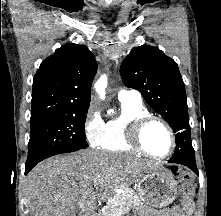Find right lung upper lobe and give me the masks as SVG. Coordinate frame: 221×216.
<instances>
[{
	"mask_svg": "<svg viewBox=\"0 0 221 216\" xmlns=\"http://www.w3.org/2000/svg\"><path fill=\"white\" fill-rule=\"evenodd\" d=\"M97 63L83 45L65 44L44 60L33 80L31 120L89 108Z\"/></svg>",
	"mask_w": 221,
	"mask_h": 216,
	"instance_id": "cb5924a9",
	"label": "right lung upper lobe"
}]
</instances>
